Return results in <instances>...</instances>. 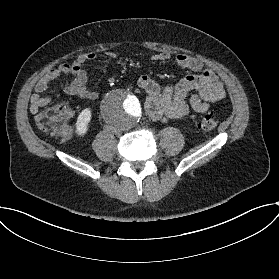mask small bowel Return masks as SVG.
<instances>
[{
    "instance_id": "obj_1",
    "label": "small bowel",
    "mask_w": 279,
    "mask_h": 279,
    "mask_svg": "<svg viewBox=\"0 0 279 279\" xmlns=\"http://www.w3.org/2000/svg\"><path fill=\"white\" fill-rule=\"evenodd\" d=\"M94 52H84L71 63H62L49 70L36 83L34 93L30 98L29 110L38 114L41 108L48 106L52 99L42 95L53 82L60 78H71L63 87L64 93L78 96L85 100H96L99 93L88 85L85 65L95 59ZM171 54L167 51L152 55L155 63L167 62ZM176 64L192 74L184 77L177 85L161 88L151 77L143 75L138 79V85L145 92L144 108L147 115L155 121H169L186 117L191 110L198 113L208 111L212 102L222 100L226 90L213 70L205 68L202 61L196 57L179 53L175 56Z\"/></svg>"
}]
</instances>
